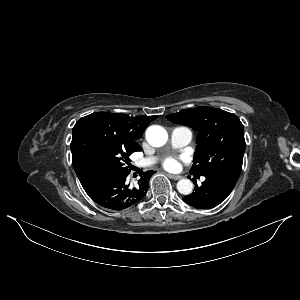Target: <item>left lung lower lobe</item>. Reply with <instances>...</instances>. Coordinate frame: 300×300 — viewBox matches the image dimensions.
<instances>
[{"label":"left lung lower lobe","mask_w":300,"mask_h":300,"mask_svg":"<svg viewBox=\"0 0 300 300\" xmlns=\"http://www.w3.org/2000/svg\"><path fill=\"white\" fill-rule=\"evenodd\" d=\"M201 186L194 184V192L183 197V200L196 208L212 209L222 203L233 190L237 180L223 174H207Z\"/></svg>","instance_id":"0a47b994"}]
</instances>
